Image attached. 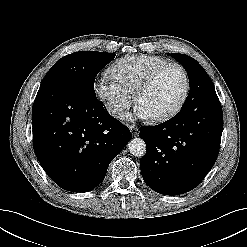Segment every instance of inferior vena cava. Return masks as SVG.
Instances as JSON below:
<instances>
[{
  "label": "inferior vena cava",
  "mask_w": 247,
  "mask_h": 247,
  "mask_svg": "<svg viewBox=\"0 0 247 247\" xmlns=\"http://www.w3.org/2000/svg\"><path fill=\"white\" fill-rule=\"evenodd\" d=\"M109 112H112V113H117V112H118V109H117V108H114V109H109Z\"/></svg>",
  "instance_id": "inferior-vena-cava-1"
}]
</instances>
